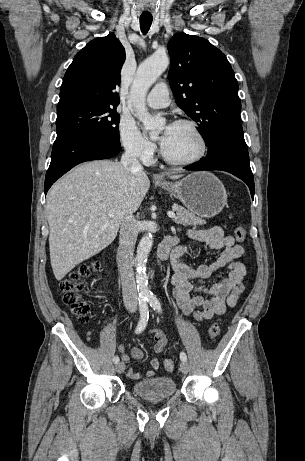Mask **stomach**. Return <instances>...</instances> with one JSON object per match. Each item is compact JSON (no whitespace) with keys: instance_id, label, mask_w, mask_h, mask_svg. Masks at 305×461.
<instances>
[{"instance_id":"obj_1","label":"stomach","mask_w":305,"mask_h":461,"mask_svg":"<svg viewBox=\"0 0 305 461\" xmlns=\"http://www.w3.org/2000/svg\"><path fill=\"white\" fill-rule=\"evenodd\" d=\"M158 184L174 194L189 211L201 217L216 216L227 203L224 185L210 172H194L178 182Z\"/></svg>"}]
</instances>
